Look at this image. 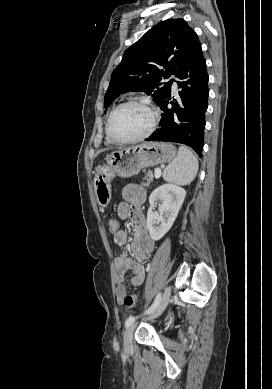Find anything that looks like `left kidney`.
Here are the masks:
<instances>
[{"label": "left kidney", "mask_w": 272, "mask_h": 389, "mask_svg": "<svg viewBox=\"0 0 272 389\" xmlns=\"http://www.w3.org/2000/svg\"><path fill=\"white\" fill-rule=\"evenodd\" d=\"M185 196V189L175 184H163L151 193L147 228L153 240H160L170 230ZM157 201L161 202L158 207L159 214L154 211Z\"/></svg>", "instance_id": "left-kidney-1"}]
</instances>
